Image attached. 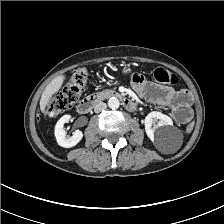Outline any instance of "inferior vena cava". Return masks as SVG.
<instances>
[{
	"mask_svg": "<svg viewBox=\"0 0 224 224\" xmlns=\"http://www.w3.org/2000/svg\"><path fill=\"white\" fill-rule=\"evenodd\" d=\"M107 108V105L104 102H99L94 107L95 113H100L101 111L105 110Z\"/></svg>",
	"mask_w": 224,
	"mask_h": 224,
	"instance_id": "obj_1",
	"label": "inferior vena cava"
}]
</instances>
